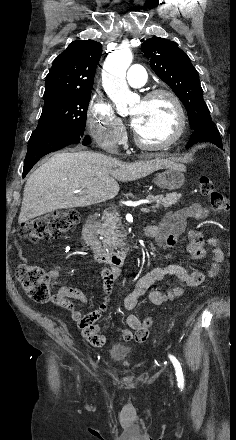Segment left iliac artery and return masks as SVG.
<instances>
[{"mask_svg":"<svg viewBox=\"0 0 236 440\" xmlns=\"http://www.w3.org/2000/svg\"><path fill=\"white\" fill-rule=\"evenodd\" d=\"M169 358L172 361L173 366H174L175 371H176L178 387L183 389V387H184V376H183V371H182V368H181V364L179 363V361L174 356L169 355Z\"/></svg>","mask_w":236,"mask_h":440,"instance_id":"1","label":"left iliac artery"}]
</instances>
